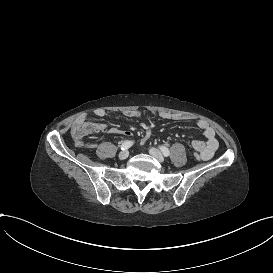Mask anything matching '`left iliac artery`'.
Returning <instances> with one entry per match:
<instances>
[{
	"instance_id": "obj_1",
	"label": "left iliac artery",
	"mask_w": 273,
	"mask_h": 273,
	"mask_svg": "<svg viewBox=\"0 0 273 273\" xmlns=\"http://www.w3.org/2000/svg\"><path fill=\"white\" fill-rule=\"evenodd\" d=\"M160 149H161V151H162V153H163L164 156L167 157V156L170 155V151H169L168 148H166V147H164V146H161Z\"/></svg>"
}]
</instances>
